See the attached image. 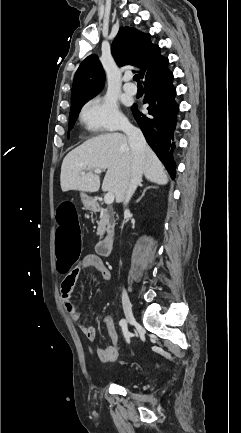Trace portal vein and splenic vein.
Listing matches in <instances>:
<instances>
[{"instance_id": "portal-vein-and-splenic-vein-1", "label": "portal vein and splenic vein", "mask_w": 241, "mask_h": 433, "mask_svg": "<svg viewBox=\"0 0 241 433\" xmlns=\"http://www.w3.org/2000/svg\"><path fill=\"white\" fill-rule=\"evenodd\" d=\"M102 172L101 169H95L94 173L96 174H100ZM82 175H85V172H81ZM104 202L105 204L109 205L112 204L114 202V194L112 192H108L105 197H104Z\"/></svg>"}]
</instances>
